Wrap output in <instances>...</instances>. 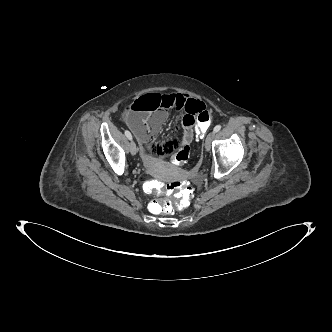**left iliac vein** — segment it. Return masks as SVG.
I'll return each instance as SVG.
<instances>
[{
  "label": "left iliac vein",
  "mask_w": 332,
  "mask_h": 332,
  "mask_svg": "<svg viewBox=\"0 0 332 332\" xmlns=\"http://www.w3.org/2000/svg\"><path fill=\"white\" fill-rule=\"evenodd\" d=\"M214 135H215V132L212 131V132H210V133L207 135V137H206V140H205V149H206L207 151H209L210 148H211V143H212V140H213V138H214Z\"/></svg>",
  "instance_id": "1"
}]
</instances>
